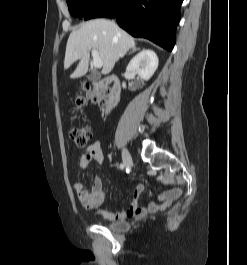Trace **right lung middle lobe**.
I'll return each instance as SVG.
<instances>
[{"label": "right lung middle lobe", "mask_w": 247, "mask_h": 265, "mask_svg": "<svg viewBox=\"0 0 247 265\" xmlns=\"http://www.w3.org/2000/svg\"><path fill=\"white\" fill-rule=\"evenodd\" d=\"M103 0H66L70 13L74 17L82 18L97 3Z\"/></svg>", "instance_id": "right-lung-middle-lobe-1"}]
</instances>
